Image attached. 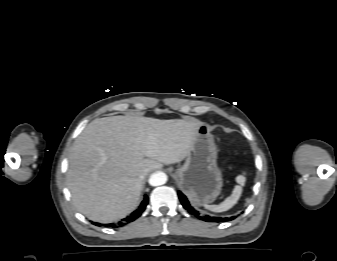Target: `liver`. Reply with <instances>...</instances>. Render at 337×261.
<instances>
[{"label":"liver","instance_id":"obj_1","mask_svg":"<svg viewBox=\"0 0 337 261\" xmlns=\"http://www.w3.org/2000/svg\"><path fill=\"white\" fill-rule=\"evenodd\" d=\"M200 125L121 115L93 120L69 154L66 181L74 206L95 222L124 218L140 199L141 172L184 160Z\"/></svg>","mask_w":337,"mask_h":261}]
</instances>
